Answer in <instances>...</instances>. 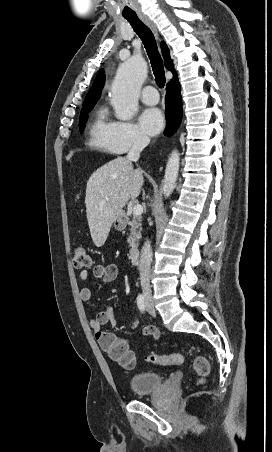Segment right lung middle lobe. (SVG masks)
<instances>
[{
	"label": "right lung middle lobe",
	"mask_w": 272,
	"mask_h": 452,
	"mask_svg": "<svg viewBox=\"0 0 272 452\" xmlns=\"http://www.w3.org/2000/svg\"><path fill=\"white\" fill-rule=\"evenodd\" d=\"M94 105H95V103L85 104L82 106V110H81V114H80V122H79V126L81 129H83L85 127V124L87 121V113L93 108Z\"/></svg>",
	"instance_id": "right-lung-middle-lobe-1"
}]
</instances>
